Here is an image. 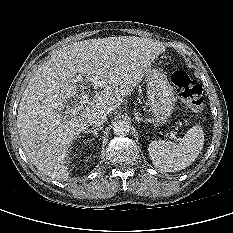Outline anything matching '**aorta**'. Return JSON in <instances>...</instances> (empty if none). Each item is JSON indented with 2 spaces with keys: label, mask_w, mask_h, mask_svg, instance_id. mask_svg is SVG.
<instances>
[{
  "label": "aorta",
  "mask_w": 233,
  "mask_h": 233,
  "mask_svg": "<svg viewBox=\"0 0 233 233\" xmlns=\"http://www.w3.org/2000/svg\"><path fill=\"white\" fill-rule=\"evenodd\" d=\"M130 131V123L125 119L116 120L113 123V132L115 135L124 136Z\"/></svg>",
  "instance_id": "1"
}]
</instances>
